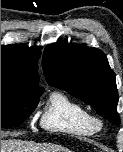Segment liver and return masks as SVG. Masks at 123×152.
Listing matches in <instances>:
<instances>
[{
  "mask_svg": "<svg viewBox=\"0 0 123 152\" xmlns=\"http://www.w3.org/2000/svg\"><path fill=\"white\" fill-rule=\"evenodd\" d=\"M1 152H70L68 149L19 139L1 140Z\"/></svg>",
  "mask_w": 123,
  "mask_h": 152,
  "instance_id": "obj_1",
  "label": "liver"
}]
</instances>
